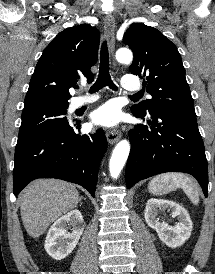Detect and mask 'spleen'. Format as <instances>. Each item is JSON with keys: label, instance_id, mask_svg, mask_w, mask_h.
<instances>
[{"label": "spleen", "instance_id": "1", "mask_svg": "<svg viewBox=\"0 0 215 274\" xmlns=\"http://www.w3.org/2000/svg\"><path fill=\"white\" fill-rule=\"evenodd\" d=\"M148 188L154 195H162L177 188H182L193 203L197 204L199 202V195L194 181L183 174L159 175L149 182Z\"/></svg>", "mask_w": 215, "mask_h": 274}]
</instances>
